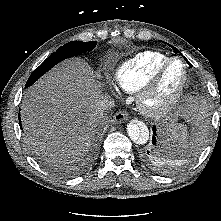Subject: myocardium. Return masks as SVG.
<instances>
[{"mask_svg": "<svg viewBox=\"0 0 221 221\" xmlns=\"http://www.w3.org/2000/svg\"><path fill=\"white\" fill-rule=\"evenodd\" d=\"M179 62L183 67V78L178 90L167 101L160 104H151L150 101L157 92L166 72L172 64ZM189 81L187 64L180 58H170L138 91L137 107L139 111L148 117H159L172 110L182 98Z\"/></svg>", "mask_w": 221, "mask_h": 221, "instance_id": "1", "label": "myocardium"}]
</instances>
